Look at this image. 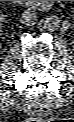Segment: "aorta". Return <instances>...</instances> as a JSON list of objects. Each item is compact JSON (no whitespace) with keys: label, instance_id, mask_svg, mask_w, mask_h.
<instances>
[{"label":"aorta","instance_id":"obj_1","mask_svg":"<svg viewBox=\"0 0 74 122\" xmlns=\"http://www.w3.org/2000/svg\"><path fill=\"white\" fill-rule=\"evenodd\" d=\"M45 23H46L47 28L50 30H55L58 27V19L54 15L48 16L46 18Z\"/></svg>","mask_w":74,"mask_h":122}]
</instances>
